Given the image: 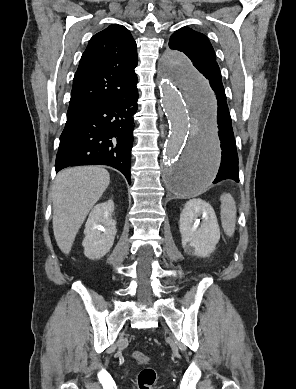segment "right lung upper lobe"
<instances>
[{
  "mask_svg": "<svg viewBox=\"0 0 296 389\" xmlns=\"http://www.w3.org/2000/svg\"><path fill=\"white\" fill-rule=\"evenodd\" d=\"M137 46L129 30L110 25L94 35L73 80L67 118L121 97L137 78Z\"/></svg>",
  "mask_w": 296,
  "mask_h": 389,
  "instance_id": "right-lung-upper-lobe-1",
  "label": "right lung upper lobe"
}]
</instances>
